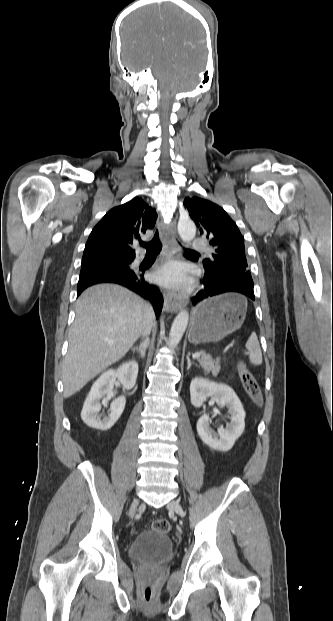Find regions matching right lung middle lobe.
<instances>
[{"label": "right lung middle lobe", "instance_id": "dd1d6c3e", "mask_svg": "<svg viewBox=\"0 0 333 621\" xmlns=\"http://www.w3.org/2000/svg\"><path fill=\"white\" fill-rule=\"evenodd\" d=\"M132 258H97V259H82L81 266H88L100 263H111L115 265L129 264Z\"/></svg>", "mask_w": 333, "mask_h": 621}]
</instances>
